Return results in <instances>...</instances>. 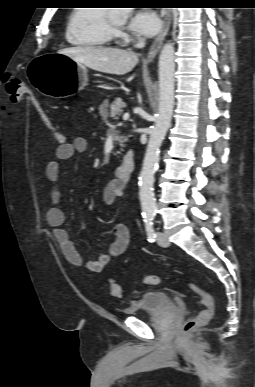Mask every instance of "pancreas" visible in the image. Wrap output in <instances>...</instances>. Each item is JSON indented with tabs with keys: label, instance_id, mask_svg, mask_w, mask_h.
<instances>
[{
	"label": "pancreas",
	"instance_id": "1",
	"mask_svg": "<svg viewBox=\"0 0 255 387\" xmlns=\"http://www.w3.org/2000/svg\"><path fill=\"white\" fill-rule=\"evenodd\" d=\"M108 106L110 107V117H112L113 119H117L121 115L123 109L126 107V103H124L120 98H116L109 105L108 99L104 100L103 104L100 107V110H101L102 116L105 118L108 116V113L106 111V108ZM118 141L121 143L120 144L121 146H124L122 143L126 142L127 139L124 136H118Z\"/></svg>",
	"mask_w": 255,
	"mask_h": 387
}]
</instances>
